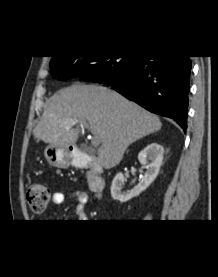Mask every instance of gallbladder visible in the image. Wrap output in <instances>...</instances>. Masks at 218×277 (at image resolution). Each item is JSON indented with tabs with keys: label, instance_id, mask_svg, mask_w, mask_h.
I'll return each instance as SVG.
<instances>
[{
	"label": "gallbladder",
	"instance_id": "1",
	"mask_svg": "<svg viewBox=\"0 0 218 277\" xmlns=\"http://www.w3.org/2000/svg\"><path fill=\"white\" fill-rule=\"evenodd\" d=\"M80 150L82 151V152H86V153H91L90 151H89V149L86 147V145H84V144H81L80 145Z\"/></svg>",
	"mask_w": 218,
	"mask_h": 277
}]
</instances>
